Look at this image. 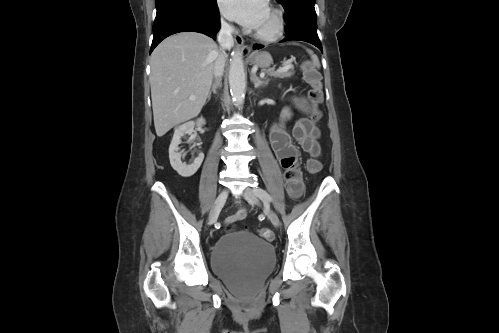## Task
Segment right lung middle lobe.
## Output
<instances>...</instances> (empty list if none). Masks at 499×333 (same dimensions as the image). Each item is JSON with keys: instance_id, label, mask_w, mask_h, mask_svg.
<instances>
[{"instance_id": "dd1d6c3e", "label": "right lung middle lobe", "mask_w": 499, "mask_h": 333, "mask_svg": "<svg viewBox=\"0 0 499 333\" xmlns=\"http://www.w3.org/2000/svg\"><path fill=\"white\" fill-rule=\"evenodd\" d=\"M211 0H156V8L159 9L174 3H185L195 7H204L209 4Z\"/></svg>"}]
</instances>
